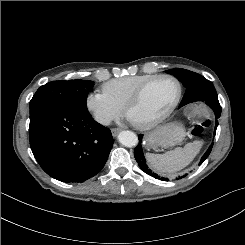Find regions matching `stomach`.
Masks as SVG:
<instances>
[{"label": "stomach", "instance_id": "stomach-1", "mask_svg": "<svg viewBox=\"0 0 245 245\" xmlns=\"http://www.w3.org/2000/svg\"><path fill=\"white\" fill-rule=\"evenodd\" d=\"M186 135L185 128L180 123H168L159 126L146 136V147H172L180 144Z\"/></svg>", "mask_w": 245, "mask_h": 245}]
</instances>
